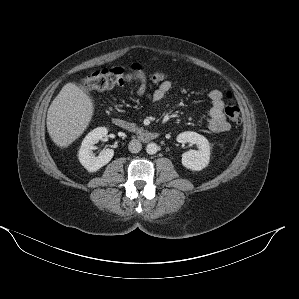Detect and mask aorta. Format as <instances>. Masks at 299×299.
<instances>
[{"mask_svg":"<svg viewBox=\"0 0 299 299\" xmlns=\"http://www.w3.org/2000/svg\"><path fill=\"white\" fill-rule=\"evenodd\" d=\"M158 151V146L156 143H149L146 146V152L150 155L156 154Z\"/></svg>","mask_w":299,"mask_h":299,"instance_id":"aorta-1","label":"aorta"}]
</instances>
